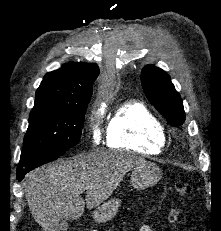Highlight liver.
<instances>
[{"label":"liver","instance_id":"liver-1","mask_svg":"<svg viewBox=\"0 0 221 231\" xmlns=\"http://www.w3.org/2000/svg\"><path fill=\"white\" fill-rule=\"evenodd\" d=\"M144 161L124 152L96 151L37 168L23 184L31 214L43 231H59L62 220L79 218L85 204L88 209L99 206Z\"/></svg>","mask_w":221,"mask_h":231}]
</instances>
